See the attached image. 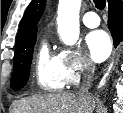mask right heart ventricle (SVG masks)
I'll return each mask as SVG.
<instances>
[{"label":"right heart ventricle","mask_w":123,"mask_h":113,"mask_svg":"<svg viewBox=\"0 0 123 113\" xmlns=\"http://www.w3.org/2000/svg\"><path fill=\"white\" fill-rule=\"evenodd\" d=\"M35 73L37 85L44 90L57 91L65 86L59 56L51 52L47 43H43L38 51Z\"/></svg>","instance_id":"e07e8e85"}]
</instances>
